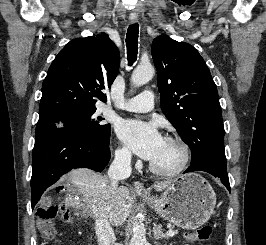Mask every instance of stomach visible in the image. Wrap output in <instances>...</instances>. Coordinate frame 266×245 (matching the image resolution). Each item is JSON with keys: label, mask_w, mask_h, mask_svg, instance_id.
<instances>
[{"label": "stomach", "mask_w": 266, "mask_h": 245, "mask_svg": "<svg viewBox=\"0 0 266 245\" xmlns=\"http://www.w3.org/2000/svg\"><path fill=\"white\" fill-rule=\"evenodd\" d=\"M143 201L168 223H173L180 229L195 231L209 221L217 199L204 177L198 173H188L176 177L161 197Z\"/></svg>", "instance_id": "obj_1"}]
</instances>
